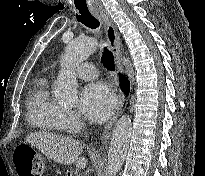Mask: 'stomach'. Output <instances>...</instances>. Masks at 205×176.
Returning <instances> with one entry per match:
<instances>
[{
    "instance_id": "0dacf381",
    "label": "stomach",
    "mask_w": 205,
    "mask_h": 176,
    "mask_svg": "<svg viewBox=\"0 0 205 176\" xmlns=\"http://www.w3.org/2000/svg\"><path fill=\"white\" fill-rule=\"evenodd\" d=\"M29 149L34 150L32 146L26 145Z\"/></svg>"
}]
</instances>
